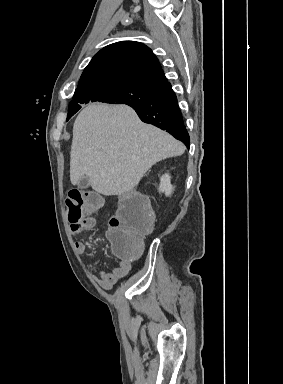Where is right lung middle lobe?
<instances>
[{"mask_svg": "<svg viewBox=\"0 0 283 384\" xmlns=\"http://www.w3.org/2000/svg\"><path fill=\"white\" fill-rule=\"evenodd\" d=\"M154 93L118 83H105L76 89L73 100L69 104L67 121L81 108V104L90 101L137 105L151 100Z\"/></svg>", "mask_w": 283, "mask_h": 384, "instance_id": "right-lung-middle-lobe-1", "label": "right lung middle lobe"}]
</instances>
